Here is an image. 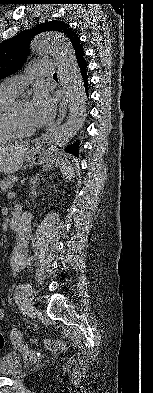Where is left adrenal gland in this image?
I'll list each match as a JSON object with an SVG mask.
<instances>
[{"instance_id": "a2214340", "label": "left adrenal gland", "mask_w": 153, "mask_h": 393, "mask_svg": "<svg viewBox=\"0 0 153 393\" xmlns=\"http://www.w3.org/2000/svg\"><path fill=\"white\" fill-rule=\"evenodd\" d=\"M39 182H40V181H38V182H37V184H39ZM34 195L36 196V195H37V193H36V192H34Z\"/></svg>"}]
</instances>
